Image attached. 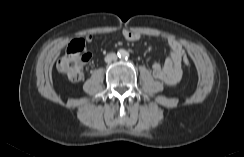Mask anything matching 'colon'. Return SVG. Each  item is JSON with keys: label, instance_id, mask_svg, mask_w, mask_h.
I'll list each match as a JSON object with an SVG mask.
<instances>
[{"label": "colon", "instance_id": "5ec220e1", "mask_svg": "<svg viewBox=\"0 0 244 157\" xmlns=\"http://www.w3.org/2000/svg\"><path fill=\"white\" fill-rule=\"evenodd\" d=\"M91 54L85 50L82 39L72 41L65 54L57 62L58 72L72 82H78L82 78V67L89 61ZM182 61L185 66H190V59L184 55Z\"/></svg>", "mask_w": 244, "mask_h": 157}]
</instances>
